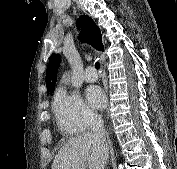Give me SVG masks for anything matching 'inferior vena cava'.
Wrapping results in <instances>:
<instances>
[{"instance_id": "obj_1", "label": "inferior vena cava", "mask_w": 177, "mask_h": 169, "mask_svg": "<svg viewBox=\"0 0 177 169\" xmlns=\"http://www.w3.org/2000/svg\"><path fill=\"white\" fill-rule=\"evenodd\" d=\"M91 134L96 138L104 140V123L100 116L94 115L91 118Z\"/></svg>"}]
</instances>
